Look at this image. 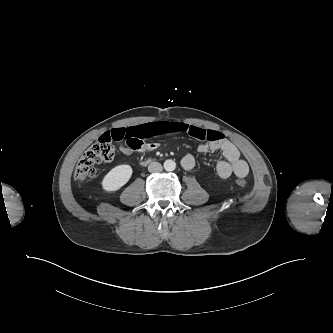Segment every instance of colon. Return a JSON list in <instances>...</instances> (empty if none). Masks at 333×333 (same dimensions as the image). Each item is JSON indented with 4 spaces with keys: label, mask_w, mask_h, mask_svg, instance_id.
I'll use <instances>...</instances> for the list:
<instances>
[{
    "label": "colon",
    "mask_w": 333,
    "mask_h": 333,
    "mask_svg": "<svg viewBox=\"0 0 333 333\" xmlns=\"http://www.w3.org/2000/svg\"><path fill=\"white\" fill-rule=\"evenodd\" d=\"M115 150L111 141L105 137H100L93 143L79 159L74 178L83 183L95 176L97 166L102 163H108L113 160ZM237 184L241 187L246 185L245 180L237 179Z\"/></svg>",
    "instance_id": "obj_1"
}]
</instances>
